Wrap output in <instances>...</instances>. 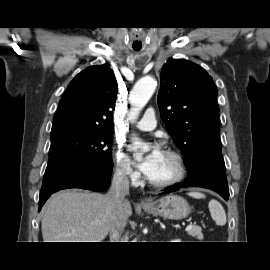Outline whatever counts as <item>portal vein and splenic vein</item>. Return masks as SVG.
I'll list each match as a JSON object with an SVG mask.
<instances>
[{"label":"portal vein and splenic vein","mask_w":270,"mask_h":270,"mask_svg":"<svg viewBox=\"0 0 270 270\" xmlns=\"http://www.w3.org/2000/svg\"><path fill=\"white\" fill-rule=\"evenodd\" d=\"M192 227H193V226H192V224L190 223L189 225H187L186 231L190 230Z\"/></svg>","instance_id":"1"}]
</instances>
